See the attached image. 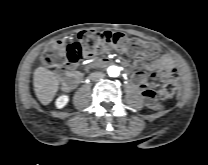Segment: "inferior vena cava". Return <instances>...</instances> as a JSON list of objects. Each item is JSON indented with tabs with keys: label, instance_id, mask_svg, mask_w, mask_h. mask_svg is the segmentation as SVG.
I'll list each match as a JSON object with an SVG mask.
<instances>
[{
	"label": "inferior vena cava",
	"instance_id": "602c4592",
	"mask_svg": "<svg viewBox=\"0 0 208 165\" xmlns=\"http://www.w3.org/2000/svg\"><path fill=\"white\" fill-rule=\"evenodd\" d=\"M104 77V74L101 72H94L90 74V79L93 81H98Z\"/></svg>",
	"mask_w": 208,
	"mask_h": 165
}]
</instances>
